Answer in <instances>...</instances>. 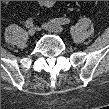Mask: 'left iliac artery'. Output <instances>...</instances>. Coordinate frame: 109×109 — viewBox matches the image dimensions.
I'll use <instances>...</instances> for the list:
<instances>
[{
  "label": "left iliac artery",
  "instance_id": "obj_1",
  "mask_svg": "<svg viewBox=\"0 0 109 109\" xmlns=\"http://www.w3.org/2000/svg\"><path fill=\"white\" fill-rule=\"evenodd\" d=\"M52 23L59 24V25H65L70 23L69 18H55L51 20Z\"/></svg>",
  "mask_w": 109,
  "mask_h": 109
}]
</instances>
